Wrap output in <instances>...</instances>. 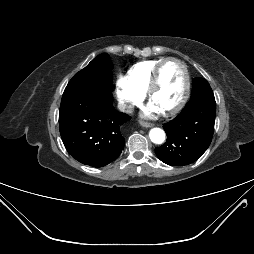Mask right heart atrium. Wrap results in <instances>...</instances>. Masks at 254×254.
Segmentation results:
<instances>
[{
	"mask_svg": "<svg viewBox=\"0 0 254 254\" xmlns=\"http://www.w3.org/2000/svg\"><path fill=\"white\" fill-rule=\"evenodd\" d=\"M116 96L120 107L129 110L144 99V93L137 89L128 76L119 75L116 80Z\"/></svg>",
	"mask_w": 254,
	"mask_h": 254,
	"instance_id": "d8ad5b80",
	"label": "right heart atrium"
}]
</instances>
